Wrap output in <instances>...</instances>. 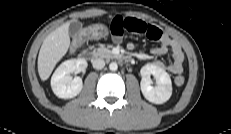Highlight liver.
<instances>
[{
    "instance_id": "6515ba94",
    "label": "liver",
    "mask_w": 231,
    "mask_h": 134,
    "mask_svg": "<svg viewBox=\"0 0 231 134\" xmlns=\"http://www.w3.org/2000/svg\"><path fill=\"white\" fill-rule=\"evenodd\" d=\"M70 22H66L52 31L43 41L38 55V73L45 81L51 75L56 64L67 53L70 46Z\"/></svg>"
}]
</instances>
